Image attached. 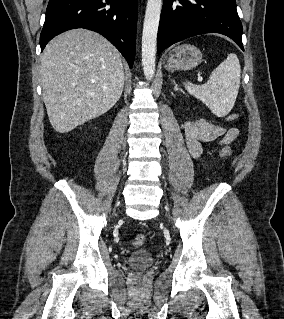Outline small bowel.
Listing matches in <instances>:
<instances>
[{"label": "small bowel", "mask_w": 284, "mask_h": 319, "mask_svg": "<svg viewBox=\"0 0 284 319\" xmlns=\"http://www.w3.org/2000/svg\"><path fill=\"white\" fill-rule=\"evenodd\" d=\"M183 131L186 146L194 158L202 155L204 143L218 140L221 145L229 144L239 135L237 128H226L204 118L187 121L183 126Z\"/></svg>", "instance_id": "small-bowel-1"}]
</instances>
